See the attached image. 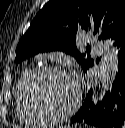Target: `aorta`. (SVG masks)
I'll return each instance as SVG.
<instances>
[{
    "mask_svg": "<svg viewBox=\"0 0 125 128\" xmlns=\"http://www.w3.org/2000/svg\"><path fill=\"white\" fill-rule=\"evenodd\" d=\"M117 60V51L110 44V47L106 51L105 58L101 63L99 86L95 94V102L101 101L106 91L111 89L117 71Z\"/></svg>",
    "mask_w": 125,
    "mask_h": 128,
    "instance_id": "aorta-1",
    "label": "aorta"
}]
</instances>
